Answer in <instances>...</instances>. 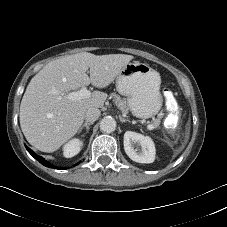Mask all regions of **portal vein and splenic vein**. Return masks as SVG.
<instances>
[{"instance_id": "portal-vein-and-splenic-vein-1", "label": "portal vein and splenic vein", "mask_w": 227, "mask_h": 227, "mask_svg": "<svg viewBox=\"0 0 227 227\" xmlns=\"http://www.w3.org/2000/svg\"><path fill=\"white\" fill-rule=\"evenodd\" d=\"M91 92L87 88H81L78 91L71 92L67 95V98L71 101L81 100L90 97ZM155 126L153 124L147 125V129L152 130Z\"/></svg>"}]
</instances>
